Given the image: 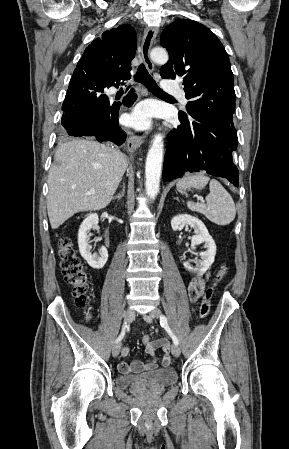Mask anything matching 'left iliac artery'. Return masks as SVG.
<instances>
[{"mask_svg": "<svg viewBox=\"0 0 289 449\" xmlns=\"http://www.w3.org/2000/svg\"><path fill=\"white\" fill-rule=\"evenodd\" d=\"M160 324L162 327H164V329L167 331V333L169 334V336L172 338L173 342L175 345L179 344L178 338L175 336V334L172 332V330L170 329L167 319L164 315L160 316Z\"/></svg>", "mask_w": 289, "mask_h": 449, "instance_id": "left-iliac-artery-1", "label": "left iliac artery"}]
</instances>
